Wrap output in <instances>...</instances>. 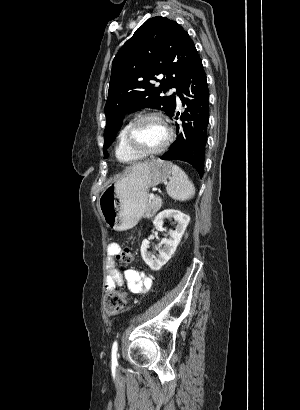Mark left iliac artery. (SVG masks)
I'll return each mask as SVG.
<instances>
[{"label": "left iliac artery", "mask_w": 300, "mask_h": 410, "mask_svg": "<svg viewBox=\"0 0 300 410\" xmlns=\"http://www.w3.org/2000/svg\"><path fill=\"white\" fill-rule=\"evenodd\" d=\"M118 342L114 341L112 345V361L117 362Z\"/></svg>", "instance_id": "44dca946"}]
</instances>
